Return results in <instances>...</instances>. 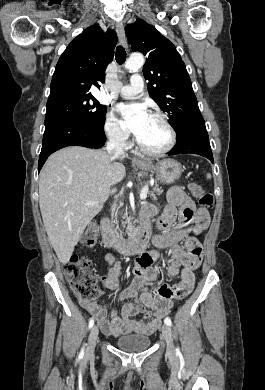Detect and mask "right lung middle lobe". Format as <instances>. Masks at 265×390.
Wrapping results in <instances>:
<instances>
[{"mask_svg":"<svg viewBox=\"0 0 265 390\" xmlns=\"http://www.w3.org/2000/svg\"><path fill=\"white\" fill-rule=\"evenodd\" d=\"M107 107L91 94H71L49 99L45 117L68 116L93 126H103Z\"/></svg>","mask_w":265,"mask_h":390,"instance_id":"right-lung-middle-lobe-1","label":"right lung middle lobe"}]
</instances>
